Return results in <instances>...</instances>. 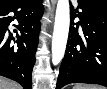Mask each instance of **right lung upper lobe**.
Masks as SVG:
<instances>
[{
  "instance_id": "1",
  "label": "right lung upper lobe",
  "mask_w": 107,
  "mask_h": 89,
  "mask_svg": "<svg viewBox=\"0 0 107 89\" xmlns=\"http://www.w3.org/2000/svg\"><path fill=\"white\" fill-rule=\"evenodd\" d=\"M3 1H5V0H0V2H3Z\"/></svg>"
}]
</instances>
